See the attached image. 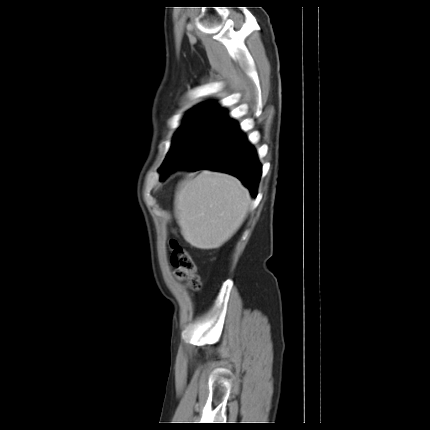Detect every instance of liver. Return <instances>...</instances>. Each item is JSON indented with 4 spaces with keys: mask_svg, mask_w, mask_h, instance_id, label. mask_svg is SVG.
I'll return each mask as SVG.
<instances>
[{
    "mask_svg": "<svg viewBox=\"0 0 430 430\" xmlns=\"http://www.w3.org/2000/svg\"><path fill=\"white\" fill-rule=\"evenodd\" d=\"M251 205L249 191L234 176L205 170L182 183L175 210L184 239L199 249L223 245L243 223Z\"/></svg>",
    "mask_w": 430,
    "mask_h": 430,
    "instance_id": "1",
    "label": "liver"
}]
</instances>
